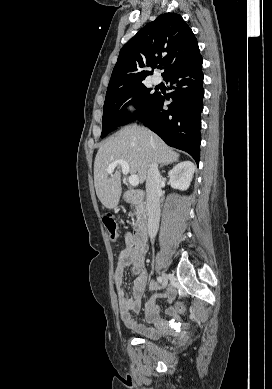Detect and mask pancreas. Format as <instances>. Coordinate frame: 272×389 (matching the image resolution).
Segmentation results:
<instances>
[{
  "mask_svg": "<svg viewBox=\"0 0 272 389\" xmlns=\"http://www.w3.org/2000/svg\"><path fill=\"white\" fill-rule=\"evenodd\" d=\"M131 204L136 210L134 213L131 214V216H136L137 219H140L144 211L143 204L139 201H132Z\"/></svg>",
  "mask_w": 272,
  "mask_h": 389,
  "instance_id": "pancreas-1",
  "label": "pancreas"
}]
</instances>
